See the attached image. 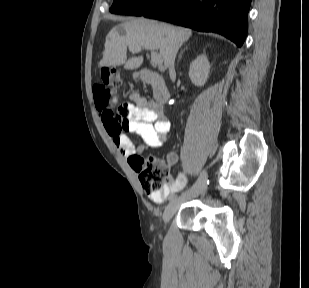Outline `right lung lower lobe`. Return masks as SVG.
<instances>
[{
    "label": "right lung lower lobe",
    "instance_id": "98d812e1",
    "mask_svg": "<svg viewBox=\"0 0 309 288\" xmlns=\"http://www.w3.org/2000/svg\"><path fill=\"white\" fill-rule=\"evenodd\" d=\"M250 3L251 0H165L143 16L219 33L241 47Z\"/></svg>",
    "mask_w": 309,
    "mask_h": 288
}]
</instances>
